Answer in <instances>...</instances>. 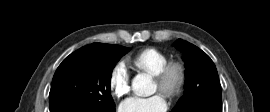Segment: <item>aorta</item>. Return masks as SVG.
<instances>
[{
  "label": "aorta",
  "mask_w": 270,
  "mask_h": 112,
  "mask_svg": "<svg viewBox=\"0 0 270 112\" xmlns=\"http://www.w3.org/2000/svg\"><path fill=\"white\" fill-rule=\"evenodd\" d=\"M132 90L138 96H149L155 92V85L147 74H138L132 80Z\"/></svg>",
  "instance_id": "762f6f07"
}]
</instances>
